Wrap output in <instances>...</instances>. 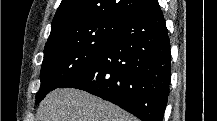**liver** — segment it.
<instances>
[{"label": "liver", "instance_id": "liver-1", "mask_svg": "<svg viewBox=\"0 0 217 121\" xmlns=\"http://www.w3.org/2000/svg\"><path fill=\"white\" fill-rule=\"evenodd\" d=\"M36 121H137L120 107L73 88L56 89L40 103Z\"/></svg>", "mask_w": 217, "mask_h": 121}]
</instances>
